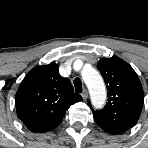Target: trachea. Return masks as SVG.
Masks as SVG:
<instances>
[{"instance_id": "obj_1", "label": "trachea", "mask_w": 148, "mask_h": 148, "mask_svg": "<svg viewBox=\"0 0 148 148\" xmlns=\"http://www.w3.org/2000/svg\"><path fill=\"white\" fill-rule=\"evenodd\" d=\"M74 87L76 92H82V82L80 78L74 79Z\"/></svg>"}]
</instances>
